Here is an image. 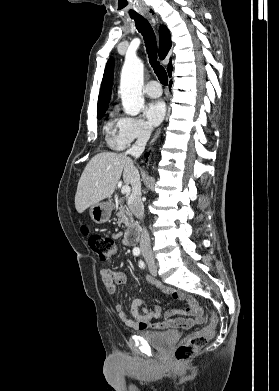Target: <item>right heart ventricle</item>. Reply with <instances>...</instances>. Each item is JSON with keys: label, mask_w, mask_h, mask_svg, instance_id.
<instances>
[{"label": "right heart ventricle", "mask_w": 279, "mask_h": 391, "mask_svg": "<svg viewBox=\"0 0 279 391\" xmlns=\"http://www.w3.org/2000/svg\"><path fill=\"white\" fill-rule=\"evenodd\" d=\"M115 125H116V122L112 118H110L106 122L105 127H104L106 136L112 145H113V141H114V137H115V135L113 134V130H114Z\"/></svg>", "instance_id": "right-heart-ventricle-1"}]
</instances>
